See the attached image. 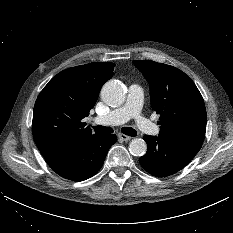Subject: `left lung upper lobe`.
I'll return each instance as SVG.
<instances>
[{
  "label": "left lung upper lobe",
  "instance_id": "obj_1",
  "mask_svg": "<svg viewBox=\"0 0 233 233\" xmlns=\"http://www.w3.org/2000/svg\"><path fill=\"white\" fill-rule=\"evenodd\" d=\"M149 83L151 105L160 114L159 137L202 144L206 109L194 82L181 70L150 60H134Z\"/></svg>",
  "mask_w": 233,
  "mask_h": 233
}]
</instances>
